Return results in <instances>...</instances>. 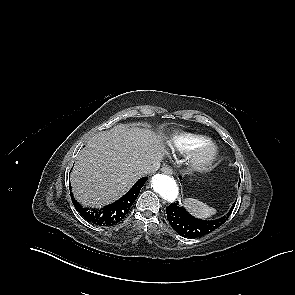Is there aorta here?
<instances>
[{
  "mask_svg": "<svg viewBox=\"0 0 295 295\" xmlns=\"http://www.w3.org/2000/svg\"><path fill=\"white\" fill-rule=\"evenodd\" d=\"M151 187L167 201H175L179 196V187L175 179L169 175L156 174L151 179Z\"/></svg>",
  "mask_w": 295,
  "mask_h": 295,
  "instance_id": "762f6f07",
  "label": "aorta"
}]
</instances>
